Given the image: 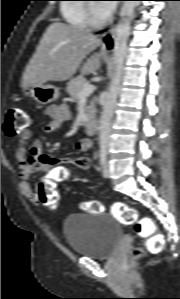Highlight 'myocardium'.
Listing matches in <instances>:
<instances>
[{
    "instance_id": "obj_1",
    "label": "myocardium",
    "mask_w": 180,
    "mask_h": 299,
    "mask_svg": "<svg viewBox=\"0 0 180 299\" xmlns=\"http://www.w3.org/2000/svg\"><path fill=\"white\" fill-rule=\"evenodd\" d=\"M87 13H88V22L92 27L104 26L109 21L108 16H104L102 18L97 17L95 13L94 4L87 5Z\"/></svg>"
}]
</instances>
